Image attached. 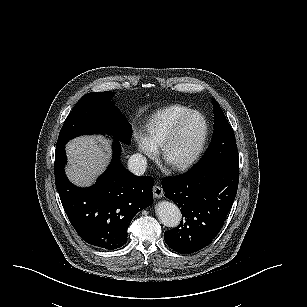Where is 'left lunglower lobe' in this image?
<instances>
[{"label": "left lung lower lobe", "mask_w": 307, "mask_h": 307, "mask_svg": "<svg viewBox=\"0 0 307 307\" xmlns=\"http://www.w3.org/2000/svg\"><path fill=\"white\" fill-rule=\"evenodd\" d=\"M239 167L220 164L194 166L178 177L162 180L165 197L181 208V223L165 231L167 245L178 253L208 246L222 228L236 197Z\"/></svg>", "instance_id": "obj_1"}]
</instances>
